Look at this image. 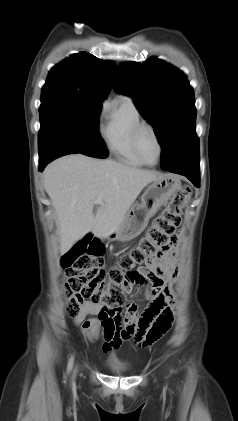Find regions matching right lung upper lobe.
<instances>
[{
	"label": "right lung upper lobe",
	"instance_id": "cb5924a9",
	"mask_svg": "<svg viewBox=\"0 0 238 421\" xmlns=\"http://www.w3.org/2000/svg\"><path fill=\"white\" fill-rule=\"evenodd\" d=\"M117 65L92 54H73L56 66L47 77L42 91L82 94L104 99L109 92Z\"/></svg>",
	"mask_w": 238,
	"mask_h": 421
}]
</instances>
